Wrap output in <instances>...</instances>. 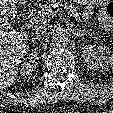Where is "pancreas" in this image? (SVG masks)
<instances>
[{"label":"pancreas","mask_w":113,"mask_h":113,"mask_svg":"<svg viewBox=\"0 0 113 113\" xmlns=\"http://www.w3.org/2000/svg\"><path fill=\"white\" fill-rule=\"evenodd\" d=\"M58 6H62L67 11H69L77 22H82L80 18V12L78 11L77 7L71 2L65 0H47L43 5L40 6L41 10L38 12V15H42L41 19L44 20V16L49 14L52 8Z\"/></svg>","instance_id":"1"}]
</instances>
